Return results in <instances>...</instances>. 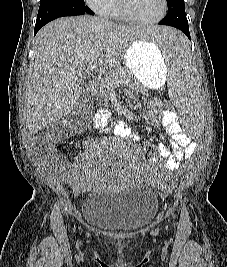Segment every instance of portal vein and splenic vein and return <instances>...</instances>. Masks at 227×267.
<instances>
[{
    "label": "portal vein and splenic vein",
    "instance_id": "obj_1",
    "mask_svg": "<svg viewBox=\"0 0 227 267\" xmlns=\"http://www.w3.org/2000/svg\"><path fill=\"white\" fill-rule=\"evenodd\" d=\"M96 65H97V61H92L88 67L85 69V72L88 74V75H91L94 70L96 69Z\"/></svg>",
    "mask_w": 227,
    "mask_h": 267
}]
</instances>
